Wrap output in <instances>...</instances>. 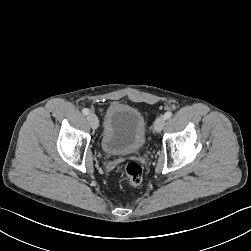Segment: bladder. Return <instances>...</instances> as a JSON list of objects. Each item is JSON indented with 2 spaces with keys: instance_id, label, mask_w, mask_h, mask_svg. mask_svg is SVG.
Masks as SVG:
<instances>
[{
  "instance_id": "bladder-1",
  "label": "bladder",
  "mask_w": 251,
  "mask_h": 251,
  "mask_svg": "<svg viewBox=\"0 0 251 251\" xmlns=\"http://www.w3.org/2000/svg\"><path fill=\"white\" fill-rule=\"evenodd\" d=\"M146 139V122L138 109L120 102L108 106L100 138V147L105 154H134L145 146Z\"/></svg>"
}]
</instances>
